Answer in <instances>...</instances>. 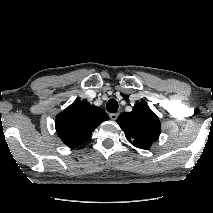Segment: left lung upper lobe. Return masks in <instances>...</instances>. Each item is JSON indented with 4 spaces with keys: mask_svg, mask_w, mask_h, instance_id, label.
<instances>
[{
    "mask_svg": "<svg viewBox=\"0 0 213 213\" xmlns=\"http://www.w3.org/2000/svg\"><path fill=\"white\" fill-rule=\"evenodd\" d=\"M117 123L135 147L149 149L161 133L160 121L147 104L138 102L131 112L120 114Z\"/></svg>",
    "mask_w": 213,
    "mask_h": 213,
    "instance_id": "5c2ea615",
    "label": "left lung upper lobe"
}]
</instances>
